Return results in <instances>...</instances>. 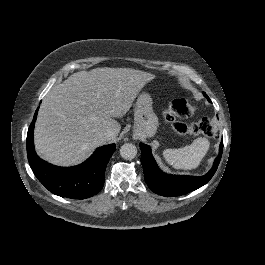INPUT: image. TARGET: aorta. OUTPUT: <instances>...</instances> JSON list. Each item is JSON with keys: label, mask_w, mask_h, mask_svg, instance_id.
<instances>
[{"label": "aorta", "mask_w": 265, "mask_h": 265, "mask_svg": "<svg viewBox=\"0 0 265 265\" xmlns=\"http://www.w3.org/2000/svg\"><path fill=\"white\" fill-rule=\"evenodd\" d=\"M120 155L126 160H132L137 155V148L131 143H125L120 148Z\"/></svg>", "instance_id": "obj_1"}]
</instances>
